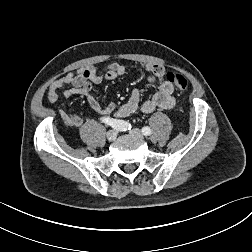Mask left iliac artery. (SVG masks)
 Masks as SVG:
<instances>
[{
  "instance_id": "44dca946",
  "label": "left iliac artery",
  "mask_w": 252,
  "mask_h": 252,
  "mask_svg": "<svg viewBox=\"0 0 252 252\" xmlns=\"http://www.w3.org/2000/svg\"><path fill=\"white\" fill-rule=\"evenodd\" d=\"M142 133H143L145 136H148V135L151 134V129H150L148 126L143 127V128H142Z\"/></svg>"
}]
</instances>
